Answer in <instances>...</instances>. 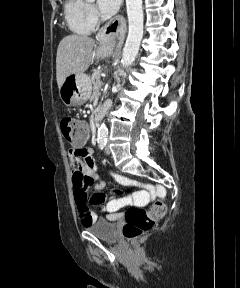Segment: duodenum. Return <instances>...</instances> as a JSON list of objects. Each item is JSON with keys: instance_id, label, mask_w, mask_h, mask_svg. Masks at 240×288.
Returning <instances> with one entry per match:
<instances>
[{"instance_id": "1", "label": "duodenum", "mask_w": 240, "mask_h": 288, "mask_svg": "<svg viewBox=\"0 0 240 288\" xmlns=\"http://www.w3.org/2000/svg\"><path fill=\"white\" fill-rule=\"evenodd\" d=\"M109 107H110V102L106 101L101 107L96 109L94 116H93V122L95 126L98 125V123L103 118V116L105 115Z\"/></svg>"}]
</instances>
